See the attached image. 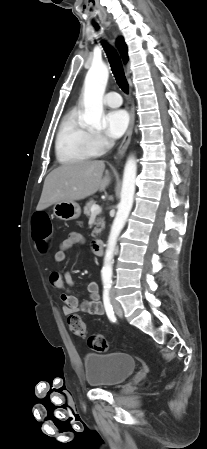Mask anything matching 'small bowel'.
<instances>
[{
    "label": "small bowel",
    "mask_w": 207,
    "mask_h": 449,
    "mask_svg": "<svg viewBox=\"0 0 207 449\" xmlns=\"http://www.w3.org/2000/svg\"><path fill=\"white\" fill-rule=\"evenodd\" d=\"M84 243V237L78 232H72L66 239L61 242L60 249L54 255L56 263L64 262L66 258V251L72 247ZM51 285L62 290L60 295L61 301L64 303L63 313L65 315H72L79 312L89 315L100 316L104 314V306L100 301L98 285L94 281L87 283V294L89 299L81 301L79 296L73 293L68 287H74L75 282L72 274L69 271L64 273L53 272L50 275Z\"/></svg>",
    "instance_id": "c3829d8e"
}]
</instances>
